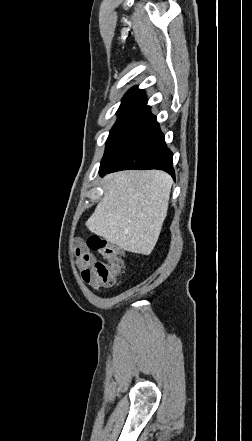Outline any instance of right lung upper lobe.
Instances as JSON below:
<instances>
[{
	"label": "right lung upper lobe",
	"mask_w": 252,
	"mask_h": 441,
	"mask_svg": "<svg viewBox=\"0 0 252 441\" xmlns=\"http://www.w3.org/2000/svg\"><path fill=\"white\" fill-rule=\"evenodd\" d=\"M147 99L145 97V93L143 90L137 89V87L131 89L126 93V95L122 99V103L120 107L136 104V103H146Z\"/></svg>",
	"instance_id": "right-lung-upper-lobe-1"
}]
</instances>
